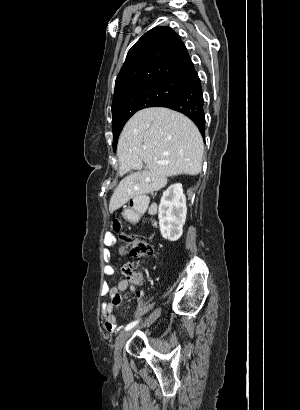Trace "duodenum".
I'll return each mask as SVG.
<instances>
[{
  "label": "duodenum",
  "instance_id": "obj_1",
  "mask_svg": "<svg viewBox=\"0 0 300 410\" xmlns=\"http://www.w3.org/2000/svg\"><path fill=\"white\" fill-rule=\"evenodd\" d=\"M152 207L149 206L145 199H136L130 208V220L133 222L138 221L146 212H150Z\"/></svg>",
  "mask_w": 300,
  "mask_h": 410
}]
</instances>
